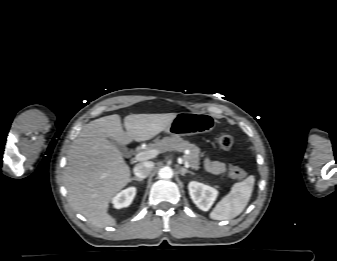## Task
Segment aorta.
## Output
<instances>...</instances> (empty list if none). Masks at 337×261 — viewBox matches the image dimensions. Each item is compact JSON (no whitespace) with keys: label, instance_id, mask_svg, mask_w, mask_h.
<instances>
[{"label":"aorta","instance_id":"aorta-1","mask_svg":"<svg viewBox=\"0 0 337 261\" xmlns=\"http://www.w3.org/2000/svg\"><path fill=\"white\" fill-rule=\"evenodd\" d=\"M158 176L161 179H170L173 176V170L170 167H163L159 170Z\"/></svg>","mask_w":337,"mask_h":261}]
</instances>
